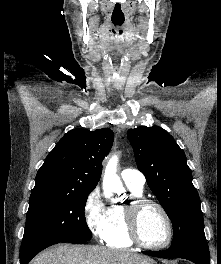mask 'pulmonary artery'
I'll return each instance as SVG.
<instances>
[{
    "label": "pulmonary artery",
    "instance_id": "obj_1",
    "mask_svg": "<svg viewBox=\"0 0 221 264\" xmlns=\"http://www.w3.org/2000/svg\"><path fill=\"white\" fill-rule=\"evenodd\" d=\"M121 178L127 185L133 186L137 189H143L146 181L144 174L135 168L123 169L121 172Z\"/></svg>",
    "mask_w": 221,
    "mask_h": 264
}]
</instances>
